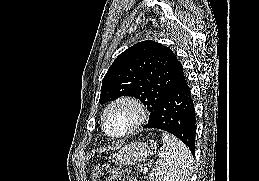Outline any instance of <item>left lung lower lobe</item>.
<instances>
[{
	"label": "left lung lower lobe",
	"instance_id": "0a47b994",
	"mask_svg": "<svg viewBox=\"0 0 259 181\" xmlns=\"http://www.w3.org/2000/svg\"><path fill=\"white\" fill-rule=\"evenodd\" d=\"M144 128L161 129L173 134L195 155V109L184 73L165 93L155 117Z\"/></svg>",
	"mask_w": 259,
	"mask_h": 181
}]
</instances>
